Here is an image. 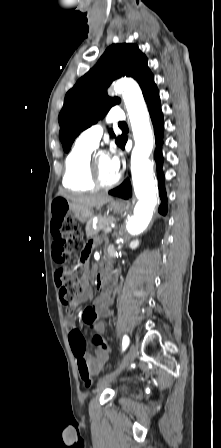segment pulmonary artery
<instances>
[{
	"instance_id": "e3ab8cb5",
	"label": "pulmonary artery",
	"mask_w": 221,
	"mask_h": 448,
	"mask_svg": "<svg viewBox=\"0 0 221 448\" xmlns=\"http://www.w3.org/2000/svg\"><path fill=\"white\" fill-rule=\"evenodd\" d=\"M105 120L107 123H122L125 120V114L120 109H112ZM103 133V124H94L81 132L78 137V142L95 148L98 146Z\"/></svg>"
}]
</instances>
